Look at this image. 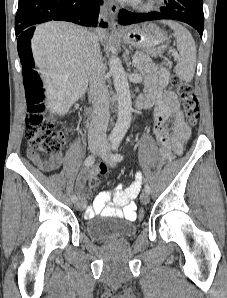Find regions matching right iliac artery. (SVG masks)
Wrapping results in <instances>:
<instances>
[{"label":"right iliac artery","mask_w":227,"mask_h":298,"mask_svg":"<svg viewBox=\"0 0 227 298\" xmlns=\"http://www.w3.org/2000/svg\"><path fill=\"white\" fill-rule=\"evenodd\" d=\"M95 162V155H89L86 160H85V166L86 167H89L91 166L93 163ZM72 201L75 202L77 201V197L76 196H73L72 197Z\"/></svg>","instance_id":"right-iliac-artery-1"}]
</instances>
